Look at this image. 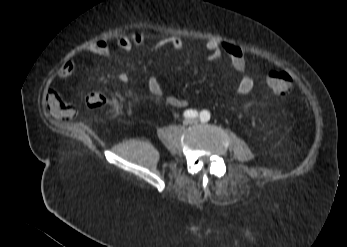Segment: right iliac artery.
<instances>
[{
	"mask_svg": "<svg viewBox=\"0 0 347 247\" xmlns=\"http://www.w3.org/2000/svg\"><path fill=\"white\" fill-rule=\"evenodd\" d=\"M185 118H196L198 117V112L196 110L188 109L183 113Z\"/></svg>",
	"mask_w": 347,
	"mask_h": 247,
	"instance_id": "82829eb1",
	"label": "right iliac artery"
}]
</instances>
